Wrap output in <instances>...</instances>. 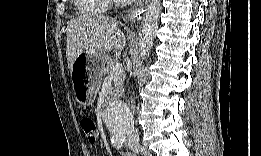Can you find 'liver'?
Segmentation results:
<instances>
[{"label": "liver", "instance_id": "liver-1", "mask_svg": "<svg viewBox=\"0 0 261 156\" xmlns=\"http://www.w3.org/2000/svg\"><path fill=\"white\" fill-rule=\"evenodd\" d=\"M126 35L118 28V22L104 15H86L73 18L67 26L66 57L70 72L76 58L86 54H104L123 50Z\"/></svg>", "mask_w": 261, "mask_h": 156}]
</instances>
